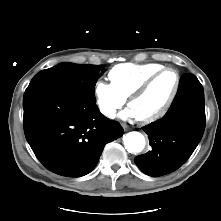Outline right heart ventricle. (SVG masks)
<instances>
[{
    "mask_svg": "<svg viewBox=\"0 0 221 221\" xmlns=\"http://www.w3.org/2000/svg\"><path fill=\"white\" fill-rule=\"evenodd\" d=\"M161 64L123 63L114 66L108 73L112 86L127 99L151 74L162 69Z\"/></svg>",
    "mask_w": 221,
    "mask_h": 221,
    "instance_id": "e07e8e85",
    "label": "right heart ventricle"
}]
</instances>
